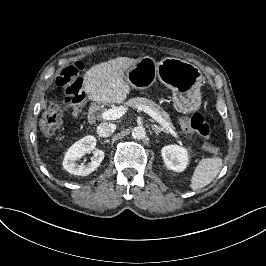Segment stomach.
Returning <instances> with one entry per match:
<instances>
[{
    "mask_svg": "<svg viewBox=\"0 0 266 266\" xmlns=\"http://www.w3.org/2000/svg\"><path fill=\"white\" fill-rule=\"evenodd\" d=\"M128 76L127 84L137 90L149 88L158 77L172 91L174 107L178 112L191 113L200 108L203 74L189 62L164 58L156 66L150 57L140 56L129 67Z\"/></svg>",
    "mask_w": 266,
    "mask_h": 266,
    "instance_id": "stomach-1",
    "label": "stomach"
}]
</instances>
